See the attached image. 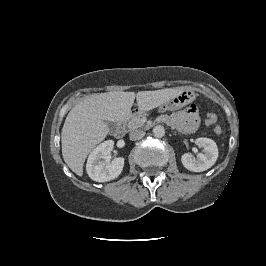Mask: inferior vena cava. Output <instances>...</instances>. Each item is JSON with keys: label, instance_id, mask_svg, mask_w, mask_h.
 <instances>
[{"label": "inferior vena cava", "instance_id": "1", "mask_svg": "<svg viewBox=\"0 0 266 266\" xmlns=\"http://www.w3.org/2000/svg\"><path fill=\"white\" fill-rule=\"evenodd\" d=\"M144 136H145V132L139 129L133 130L129 134L130 140H133V141L142 139Z\"/></svg>", "mask_w": 266, "mask_h": 266}]
</instances>
